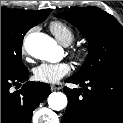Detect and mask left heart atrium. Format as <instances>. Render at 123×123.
I'll return each mask as SVG.
<instances>
[{
    "label": "left heart atrium",
    "instance_id": "obj_1",
    "mask_svg": "<svg viewBox=\"0 0 123 123\" xmlns=\"http://www.w3.org/2000/svg\"><path fill=\"white\" fill-rule=\"evenodd\" d=\"M71 67L66 62L48 63L44 62L34 68L33 74L37 81L54 84L68 75Z\"/></svg>",
    "mask_w": 123,
    "mask_h": 123
}]
</instances>
